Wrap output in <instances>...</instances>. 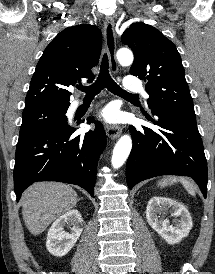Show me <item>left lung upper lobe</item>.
<instances>
[{"label":"left lung upper lobe","mask_w":215,"mask_h":274,"mask_svg":"<svg viewBox=\"0 0 215 274\" xmlns=\"http://www.w3.org/2000/svg\"><path fill=\"white\" fill-rule=\"evenodd\" d=\"M121 40L134 52L130 73L146 81L149 108L167 107L195 114L175 45L158 29L144 23L131 24Z\"/></svg>","instance_id":"left-lung-upper-lobe-1"}]
</instances>
